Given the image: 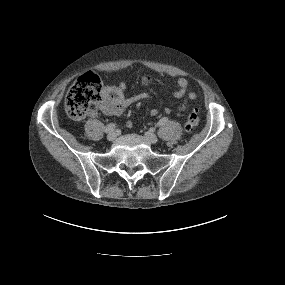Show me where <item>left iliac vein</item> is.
I'll use <instances>...</instances> for the list:
<instances>
[{"label":"left iliac vein","instance_id":"4c4485c4","mask_svg":"<svg viewBox=\"0 0 285 285\" xmlns=\"http://www.w3.org/2000/svg\"><path fill=\"white\" fill-rule=\"evenodd\" d=\"M145 138L148 139L152 143H156L158 141V137L153 132H146Z\"/></svg>","mask_w":285,"mask_h":285}]
</instances>
